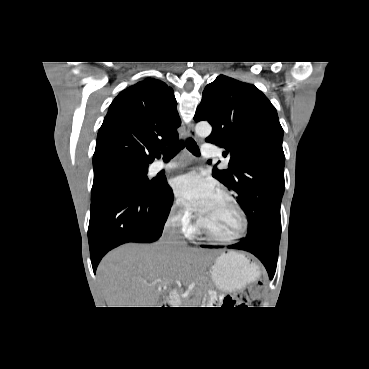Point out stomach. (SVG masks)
I'll list each match as a JSON object with an SVG mask.
<instances>
[{"label":"stomach","instance_id":"0dacf381","mask_svg":"<svg viewBox=\"0 0 369 369\" xmlns=\"http://www.w3.org/2000/svg\"><path fill=\"white\" fill-rule=\"evenodd\" d=\"M215 285L224 292H234L255 280L257 266L237 252L220 255L210 270Z\"/></svg>","mask_w":369,"mask_h":369}]
</instances>
